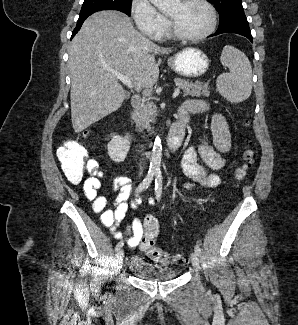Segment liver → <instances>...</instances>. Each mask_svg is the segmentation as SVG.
Instances as JSON below:
<instances>
[{"mask_svg":"<svg viewBox=\"0 0 298 325\" xmlns=\"http://www.w3.org/2000/svg\"><path fill=\"white\" fill-rule=\"evenodd\" d=\"M175 50L146 38L119 10H99L88 16L69 46L74 132L120 108L125 90L114 72L129 76L138 92L151 88L159 78L156 54Z\"/></svg>","mask_w":298,"mask_h":325,"instance_id":"1","label":"liver"}]
</instances>
